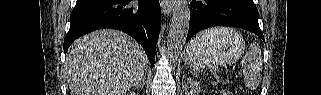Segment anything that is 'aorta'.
Wrapping results in <instances>:
<instances>
[{
	"label": "aorta",
	"mask_w": 321,
	"mask_h": 95,
	"mask_svg": "<svg viewBox=\"0 0 321 95\" xmlns=\"http://www.w3.org/2000/svg\"><path fill=\"white\" fill-rule=\"evenodd\" d=\"M190 23V6L188 0H175L173 17L168 34V55L176 59L183 49Z\"/></svg>",
	"instance_id": "aorta-1"
}]
</instances>
